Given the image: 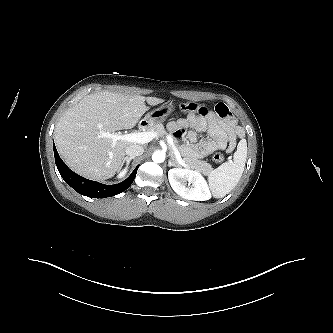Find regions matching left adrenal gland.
<instances>
[{
    "instance_id": "obj_1",
    "label": "left adrenal gland",
    "mask_w": 333,
    "mask_h": 333,
    "mask_svg": "<svg viewBox=\"0 0 333 333\" xmlns=\"http://www.w3.org/2000/svg\"><path fill=\"white\" fill-rule=\"evenodd\" d=\"M168 166H169V167H171V166H175V167H177V166H180V165L176 162L174 156L171 155V158H170V160L168 161Z\"/></svg>"
}]
</instances>
